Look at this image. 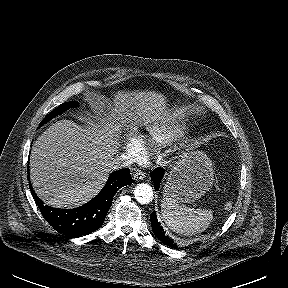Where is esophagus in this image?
Wrapping results in <instances>:
<instances>
[{
	"label": "esophagus",
	"mask_w": 288,
	"mask_h": 288,
	"mask_svg": "<svg viewBox=\"0 0 288 288\" xmlns=\"http://www.w3.org/2000/svg\"><path fill=\"white\" fill-rule=\"evenodd\" d=\"M146 177L145 173L142 171H136L133 174V179L134 180H143Z\"/></svg>",
	"instance_id": "34e87169"
}]
</instances>
